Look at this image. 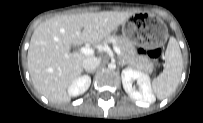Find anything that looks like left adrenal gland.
I'll list each match as a JSON object with an SVG mask.
<instances>
[{
	"mask_svg": "<svg viewBox=\"0 0 203 123\" xmlns=\"http://www.w3.org/2000/svg\"><path fill=\"white\" fill-rule=\"evenodd\" d=\"M119 64L123 67L127 62L124 59H120Z\"/></svg>",
	"mask_w": 203,
	"mask_h": 123,
	"instance_id": "a2214340",
	"label": "left adrenal gland"
}]
</instances>
